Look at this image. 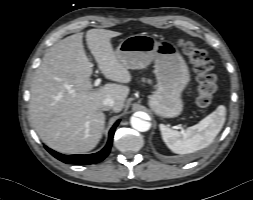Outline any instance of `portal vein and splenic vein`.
<instances>
[{
    "instance_id": "obj_1",
    "label": "portal vein and splenic vein",
    "mask_w": 253,
    "mask_h": 200,
    "mask_svg": "<svg viewBox=\"0 0 253 200\" xmlns=\"http://www.w3.org/2000/svg\"><path fill=\"white\" fill-rule=\"evenodd\" d=\"M99 84H100V78L96 79L95 82H94L95 86H98Z\"/></svg>"
}]
</instances>
